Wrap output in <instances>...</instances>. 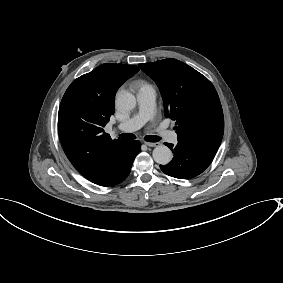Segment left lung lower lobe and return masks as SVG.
Here are the masks:
<instances>
[{
    "instance_id": "0a47b994",
    "label": "left lung lower lobe",
    "mask_w": 283,
    "mask_h": 283,
    "mask_svg": "<svg viewBox=\"0 0 283 283\" xmlns=\"http://www.w3.org/2000/svg\"><path fill=\"white\" fill-rule=\"evenodd\" d=\"M173 150L174 158L167 165H160L161 170L174 178L190 179L201 174L212 162L214 154L178 143L176 146L164 143Z\"/></svg>"
}]
</instances>
